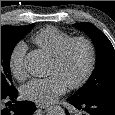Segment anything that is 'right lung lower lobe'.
I'll use <instances>...</instances> for the list:
<instances>
[{
	"instance_id": "98d812e1",
	"label": "right lung lower lobe",
	"mask_w": 115,
	"mask_h": 115,
	"mask_svg": "<svg viewBox=\"0 0 115 115\" xmlns=\"http://www.w3.org/2000/svg\"><path fill=\"white\" fill-rule=\"evenodd\" d=\"M17 96L18 91L15 88L7 93H1V115H31L36 110L35 104L33 102L15 101ZM10 101H12L14 104L8 108H3V103L7 102L6 105H8L11 103Z\"/></svg>"
}]
</instances>
